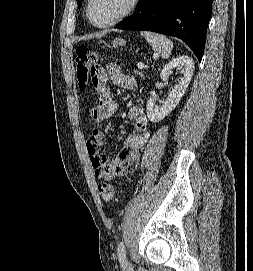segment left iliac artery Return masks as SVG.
<instances>
[{"label": "left iliac artery", "instance_id": "left-iliac-artery-1", "mask_svg": "<svg viewBox=\"0 0 253 271\" xmlns=\"http://www.w3.org/2000/svg\"><path fill=\"white\" fill-rule=\"evenodd\" d=\"M118 257L119 261L122 265L126 263V252H125V245L123 242H120L118 245Z\"/></svg>", "mask_w": 253, "mask_h": 271}]
</instances>
